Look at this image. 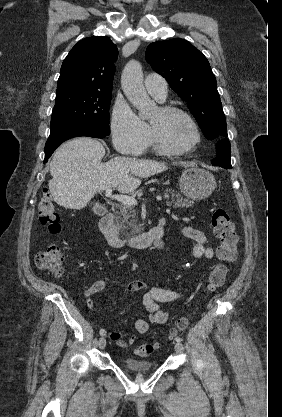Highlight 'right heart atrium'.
<instances>
[{"mask_svg": "<svg viewBox=\"0 0 282 417\" xmlns=\"http://www.w3.org/2000/svg\"><path fill=\"white\" fill-rule=\"evenodd\" d=\"M111 134L115 148L129 155H139L148 146L150 130L126 104L116 103L111 117Z\"/></svg>", "mask_w": 282, "mask_h": 417, "instance_id": "d8ad5b80", "label": "right heart atrium"}]
</instances>
